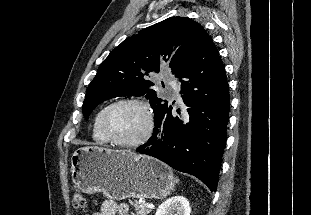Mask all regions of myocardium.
<instances>
[{
	"instance_id": "myocardium-1",
	"label": "myocardium",
	"mask_w": 311,
	"mask_h": 215,
	"mask_svg": "<svg viewBox=\"0 0 311 215\" xmlns=\"http://www.w3.org/2000/svg\"><path fill=\"white\" fill-rule=\"evenodd\" d=\"M124 104H133V105H137L140 108H142L146 114V118H147V125H146V129L144 131V133L136 140L133 141H124V140H120L116 137H114L108 127H107V117L110 113V111L119 106V105H124ZM100 129L102 134L105 136V138L112 144L121 146V147H126V148H135V147H139L141 145H143L144 143H146L152 133H153V129H154V118H153V112L149 106V104L139 98H123V99H119L116 100L114 102H112L111 104L107 105L100 117Z\"/></svg>"
}]
</instances>
